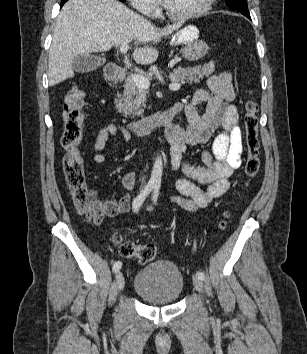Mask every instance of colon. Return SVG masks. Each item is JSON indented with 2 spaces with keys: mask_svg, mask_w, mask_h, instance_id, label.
<instances>
[{
  "mask_svg": "<svg viewBox=\"0 0 307 354\" xmlns=\"http://www.w3.org/2000/svg\"><path fill=\"white\" fill-rule=\"evenodd\" d=\"M84 99V91L77 86H74L65 97L63 110L64 130L61 141L66 153L62 164L75 208L94 223H99L107 215L109 208L105 204L94 200L86 187L83 159L79 149L83 122L81 108ZM245 110L244 131L247 159L244 172L247 179L246 183L248 184L256 177L260 168L258 104L252 95L245 103ZM229 217L230 213L225 212L223 220L220 222L221 228L226 227ZM112 241L117 246L120 256L124 258H135L140 263H146L154 260L157 256V249L152 244L137 245L132 241L122 239L119 234H114Z\"/></svg>",
  "mask_w": 307,
  "mask_h": 354,
  "instance_id": "colon-1",
  "label": "colon"
}]
</instances>
